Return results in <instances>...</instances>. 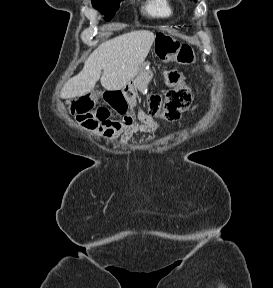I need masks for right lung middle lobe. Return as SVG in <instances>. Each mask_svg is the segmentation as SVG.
I'll use <instances>...</instances> for the list:
<instances>
[{
    "mask_svg": "<svg viewBox=\"0 0 273 288\" xmlns=\"http://www.w3.org/2000/svg\"><path fill=\"white\" fill-rule=\"evenodd\" d=\"M122 0H92L93 7L105 14V20L109 21L119 8Z\"/></svg>",
    "mask_w": 273,
    "mask_h": 288,
    "instance_id": "obj_1",
    "label": "right lung middle lobe"
}]
</instances>
